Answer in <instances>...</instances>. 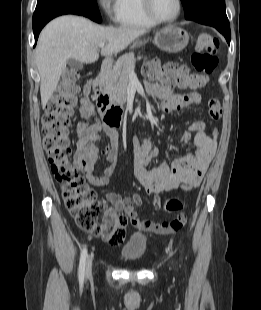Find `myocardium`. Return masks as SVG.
Segmentation results:
<instances>
[{
  "label": "myocardium",
  "mask_w": 261,
  "mask_h": 310,
  "mask_svg": "<svg viewBox=\"0 0 261 310\" xmlns=\"http://www.w3.org/2000/svg\"><path fill=\"white\" fill-rule=\"evenodd\" d=\"M142 5L146 15L156 24H169L175 22L179 18L183 8L182 0H177L178 8L176 14L172 18L162 19L154 13L152 0H142Z\"/></svg>",
  "instance_id": "1"
}]
</instances>
